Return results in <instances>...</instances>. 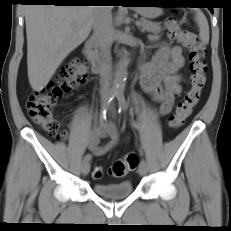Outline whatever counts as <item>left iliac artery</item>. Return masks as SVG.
<instances>
[{
  "label": "left iliac artery",
  "mask_w": 231,
  "mask_h": 231,
  "mask_svg": "<svg viewBox=\"0 0 231 231\" xmlns=\"http://www.w3.org/2000/svg\"><path fill=\"white\" fill-rule=\"evenodd\" d=\"M116 97H117L118 105H119V106H118V107H119L118 112H119V113H122V112L126 109V107H127V102H126V99H125V96H124V90H123V89H119V90L117 91ZM134 126H135L137 129L140 130V126H139V125L134 124Z\"/></svg>",
  "instance_id": "obj_1"
}]
</instances>
